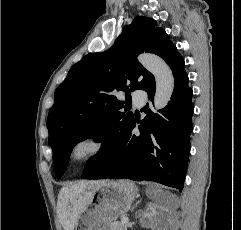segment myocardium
Masks as SVG:
<instances>
[{"mask_svg":"<svg viewBox=\"0 0 241 230\" xmlns=\"http://www.w3.org/2000/svg\"><path fill=\"white\" fill-rule=\"evenodd\" d=\"M86 147V150L77 155L80 147ZM106 149V141L103 137L96 134H85L76 138L69 146L67 159L71 165H80L100 156Z\"/></svg>","mask_w":241,"mask_h":230,"instance_id":"myocardium-1","label":"myocardium"}]
</instances>
